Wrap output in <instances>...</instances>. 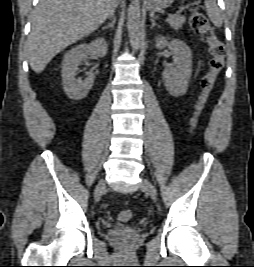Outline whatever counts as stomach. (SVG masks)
<instances>
[{"mask_svg":"<svg viewBox=\"0 0 254 267\" xmlns=\"http://www.w3.org/2000/svg\"><path fill=\"white\" fill-rule=\"evenodd\" d=\"M174 0H148V9H165L171 6Z\"/></svg>","mask_w":254,"mask_h":267,"instance_id":"obj_1","label":"stomach"}]
</instances>
